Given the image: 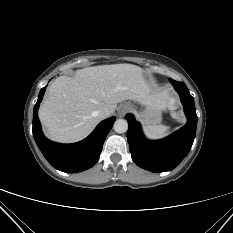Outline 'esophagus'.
I'll return each instance as SVG.
<instances>
[{"mask_svg":"<svg viewBox=\"0 0 233 233\" xmlns=\"http://www.w3.org/2000/svg\"><path fill=\"white\" fill-rule=\"evenodd\" d=\"M129 108L126 105H122L118 108V115L120 117H123L127 112H128Z\"/></svg>","mask_w":233,"mask_h":233,"instance_id":"esophagus-1","label":"esophagus"}]
</instances>
